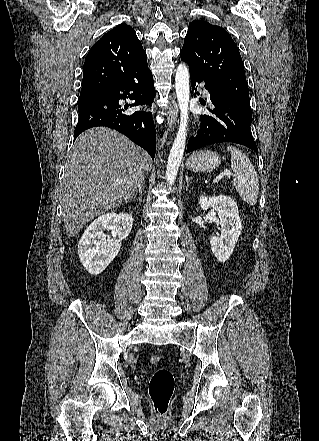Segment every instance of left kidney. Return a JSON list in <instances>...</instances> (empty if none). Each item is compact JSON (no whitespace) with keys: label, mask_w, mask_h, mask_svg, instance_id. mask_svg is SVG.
<instances>
[{"label":"left kidney","mask_w":319,"mask_h":441,"mask_svg":"<svg viewBox=\"0 0 319 441\" xmlns=\"http://www.w3.org/2000/svg\"><path fill=\"white\" fill-rule=\"evenodd\" d=\"M199 204L203 210L212 207L218 213V226L221 235L220 237L211 236L210 244L212 253L218 261L225 262L233 253L242 232L237 204L232 198L224 195L216 197L201 196Z\"/></svg>","instance_id":"left-kidney-1"}]
</instances>
